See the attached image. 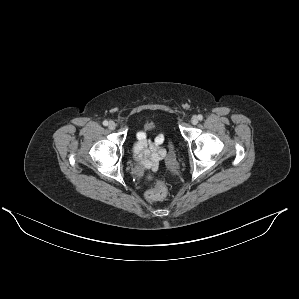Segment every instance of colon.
Here are the masks:
<instances>
[{"mask_svg": "<svg viewBox=\"0 0 299 299\" xmlns=\"http://www.w3.org/2000/svg\"><path fill=\"white\" fill-rule=\"evenodd\" d=\"M166 194L167 187L163 181L159 180L145 193V197L148 201H157L164 198Z\"/></svg>", "mask_w": 299, "mask_h": 299, "instance_id": "colon-1", "label": "colon"}]
</instances>
